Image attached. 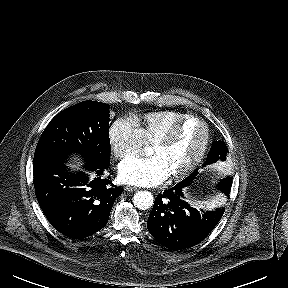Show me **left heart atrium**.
I'll return each mask as SVG.
<instances>
[{"label":"left heart atrium","mask_w":288,"mask_h":288,"mask_svg":"<svg viewBox=\"0 0 288 288\" xmlns=\"http://www.w3.org/2000/svg\"><path fill=\"white\" fill-rule=\"evenodd\" d=\"M119 179L135 186H155L164 182L170 172L164 160L154 155L148 158H127L118 167Z\"/></svg>","instance_id":"39dd6f15"}]
</instances>
